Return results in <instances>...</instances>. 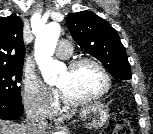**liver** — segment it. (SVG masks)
Wrapping results in <instances>:
<instances>
[{
    "mask_svg": "<svg viewBox=\"0 0 153 134\" xmlns=\"http://www.w3.org/2000/svg\"><path fill=\"white\" fill-rule=\"evenodd\" d=\"M75 112L67 113L63 118L72 117ZM0 134H27L26 124L0 120Z\"/></svg>",
    "mask_w": 153,
    "mask_h": 134,
    "instance_id": "1",
    "label": "liver"
}]
</instances>
